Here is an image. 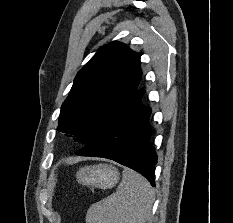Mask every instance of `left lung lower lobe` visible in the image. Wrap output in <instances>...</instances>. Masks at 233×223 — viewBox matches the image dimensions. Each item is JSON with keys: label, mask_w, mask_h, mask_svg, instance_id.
Returning <instances> with one entry per match:
<instances>
[{"label": "left lung lower lobe", "mask_w": 233, "mask_h": 223, "mask_svg": "<svg viewBox=\"0 0 233 223\" xmlns=\"http://www.w3.org/2000/svg\"><path fill=\"white\" fill-rule=\"evenodd\" d=\"M143 94V89L137 91L77 154L114 160L139 172L155 186L157 154L150 143L148 122L151 108L141 103Z\"/></svg>", "instance_id": "1"}]
</instances>
